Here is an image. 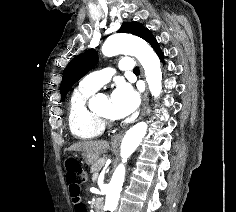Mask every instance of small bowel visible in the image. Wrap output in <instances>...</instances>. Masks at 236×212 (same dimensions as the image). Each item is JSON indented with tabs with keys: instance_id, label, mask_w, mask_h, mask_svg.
<instances>
[{
	"instance_id": "1",
	"label": "small bowel",
	"mask_w": 236,
	"mask_h": 212,
	"mask_svg": "<svg viewBox=\"0 0 236 212\" xmlns=\"http://www.w3.org/2000/svg\"><path fill=\"white\" fill-rule=\"evenodd\" d=\"M65 180H68L67 191L70 192L71 202L74 204L72 205V212H88V205H82L84 199L81 198V180L76 179V175H65Z\"/></svg>"
}]
</instances>
